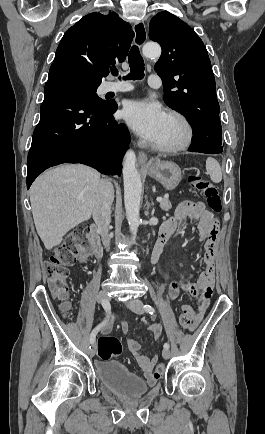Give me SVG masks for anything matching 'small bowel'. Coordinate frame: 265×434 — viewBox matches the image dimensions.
I'll list each match as a JSON object with an SVG mask.
<instances>
[{"label":"small bowel","mask_w":265,"mask_h":434,"mask_svg":"<svg viewBox=\"0 0 265 434\" xmlns=\"http://www.w3.org/2000/svg\"><path fill=\"white\" fill-rule=\"evenodd\" d=\"M187 221L197 223L200 237H207L206 252L203 257L205 269L195 285L184 284L183 278L171 281L168 287V297L171 301H175L181 292L185 291L197 298L196 310L189 305L181 306V312L188 313L192 319V326L189 330H194L204 318L210 305L212 288L215 283L214 245L219 229V220L214 213L205 207L204 203L183 201L176 208L174 215L168 218L161 226L157 242L163 241L166 244L169 238ZM211 228H214V232L208 233ZM185 278L192 280L194 277L187 275ZM64 307L66 308L67 306L65 305ZM128 330V324L126 321H123L121 324V332L127 335ZM151 331L153 332L154 340L157 341L160 338L162 327L160 324H154L151 327ZM125 342L128 349L134 355H137V359L144 370V376L148 385L153 386L156 382V378L151 370L155 364V359L140 355V342L128 336H126Z\"/></svg>","instance_id":"1"}]
</instances>
